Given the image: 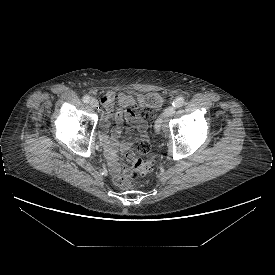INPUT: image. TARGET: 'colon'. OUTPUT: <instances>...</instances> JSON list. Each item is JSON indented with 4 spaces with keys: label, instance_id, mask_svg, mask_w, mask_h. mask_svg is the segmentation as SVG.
Segmentation results:
<instances>
[{
    "label": "colon",
    "instance_id": "5ec220e1",
    "mask_svg": "<svg viewBox=\"0 0 275 275\" xmlns=\"http://www.w3.org/2000/svg\"><path fill=\"white\" fill-rule=\"evenodd\" d=\"M165 101V97L157 94L151 93L143 97V104L145 106L143 110V117L146 120H152L154 114L153 110L161 107ZM135 140L137 142V150L139 153L145 154L150 151L151 143L149 139V134L145 130L141 136L136 135ZM154 163V158L150 157L147 160H143L139 157L134 158L133 167L134 172L132 175L125 179L120 185L124 188L130 189L137 186L141 178L151 171Z\"/></svg>",
    "mask_w": 275,
    "mask_h": 275
}]
</instances>
